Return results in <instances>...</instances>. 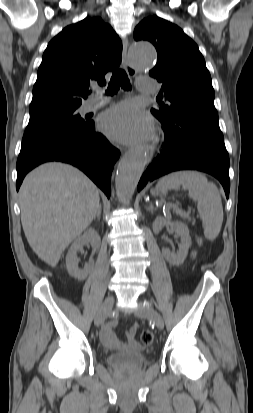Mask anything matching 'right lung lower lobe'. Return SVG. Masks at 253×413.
I'll list each match as a JSON object with an SVG mask.
<instances>
[{
    "label": "right lung lower lobe",
    "mask_w": 253,
    "mask_h": 413,
    "mask_svg": "<svg viewBox=\"0 0 253 413\" xmlns=\"http://www.w3.org/2000/svg\"><path fill=\"white\" fill-rule=\"evenodd\" d=\"M119 156V150L95 132L94 122L89 121L84 129L22 144L16 165V189L19 190L25 175L36 166L61 161L82 170L109 198L111 173Z\"/></svg>",
    "instance_id": "1"
}]
</instances>
